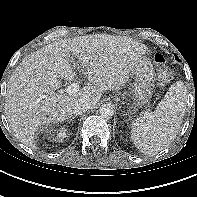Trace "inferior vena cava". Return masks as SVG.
Instances as JSON below:
<instances>
[{
  "label": "inferior vena cava",
  "instance_id": "inferior-vena-cava-1",
  "mask_svg": "<svg viewBox=\"0 0 197 197\" xmlns=\"http://www.w3.org/2000/svg\"><path fill=\"white\" fill-rule=\"evenodd\" d=\"M91 108V103L88 99L80 98L72 106L75 115H81Z\"/></svg>",
  "mask_w": 197,
  "mask_h": 197
}]
</instances>
